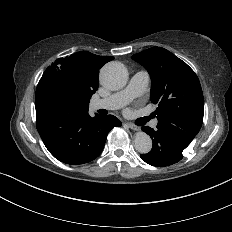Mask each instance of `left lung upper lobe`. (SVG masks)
Here are the masks:
<instances>
[{"label":"left lung upper lobe","instance_id":"5c2ea615","mask_svg":"<svg viewBox=\"0 0 232 232\" xmlns=\"http://www.w3.org/2000/svg\"><path fill=\"white\" fill-rule=\"evenodd\" d=\"M132 59L144 66L152 79L151 102L161 128L191 142L199 132L204 114L201 85L194 71L161 47H152Z\"/></svg>","mask_w":232,"mask_h":232}]
</instances>
